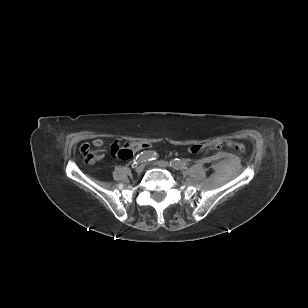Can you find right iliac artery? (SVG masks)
Instances as JSON below:
<instances>
[{
    "label": "right iliac artery",
    "mask_w": 308,
    "mask_h": 308,
    "mask_svg": "<svg viewBox=\"0 0 308 308\" xmlns=\"http://www.w3.org/2000/svg\"><path fill=\"white\" fill-rule=\"evenodd\" d=\"M158 154L155 151H143L137 155L135 163L152 161L157 159Z\"/></svg>",
    "instance_id": "obj_1"
}]
</instances>
